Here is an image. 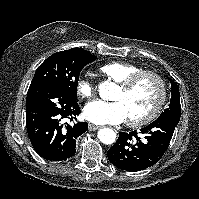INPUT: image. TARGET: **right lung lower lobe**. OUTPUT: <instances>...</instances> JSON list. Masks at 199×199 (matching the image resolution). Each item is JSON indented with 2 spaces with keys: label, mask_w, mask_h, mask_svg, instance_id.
<instances>
[{
  "label": "right lung lower lobe",
  "mask_w": 199,
  "mask_h": 199,
  "mask_svg": "<svg viewBox=\"0 0 199 199\" xmlns=\"http://www.w3.org/2000/svg\"><path fill=\"white\" fill-rule=\"evenodd\" d=\"M80 114L76 99L51 83L30 86L26 98V126L35 151L46 160L62 161L76 152V139L86 122L69 124Z\"/></svg>",
  "instance_id": "obj_1"
}]
</instances>
